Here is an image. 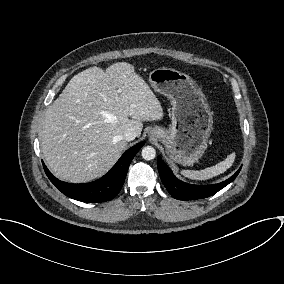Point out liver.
<instances>
[{"instance_id": "obj_1", "label": "liver", "mask_w": 284, "mask_h": 284, "mask_svg": "<svg viewBox=\"0 0 284 284\" xmlns=\"http://www.w3.org/2000/svg\"><path fill=\"white\" fill-rule=\"evenodd\" d=\"M130 117V119H129ZM163 109L132 64L75 75L47 108L40 134L43 156L61 180L84 183L104 175L127 147L123 134L142 121L160 120Z\"/></svg>"}]
</instances>
